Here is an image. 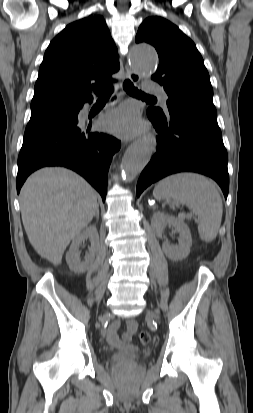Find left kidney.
<instances>
[{
  "label": "left kidney",
  "instance_id": "1",
  "mask_svg": "<svg viewBox=\"0 0 253 413\" xmlns=\"http://www.w3.org/2000/svg\"><path fill=\"white\" fill-rule=\"evenodd\" d=\"M152 228L157 236L161 237L166 225H170L179 232L180 237L178 239L177 246H171L169 243L164 242L162 245L165 255L174 261L185 259L190 253V247L192 245L191 232L188 226L184 223L182 218H174L168 216L162 212H155L151 221Z\"/></svg>",
  "mask_w": 253,
  "mask_h": 413
}]
</instances>
